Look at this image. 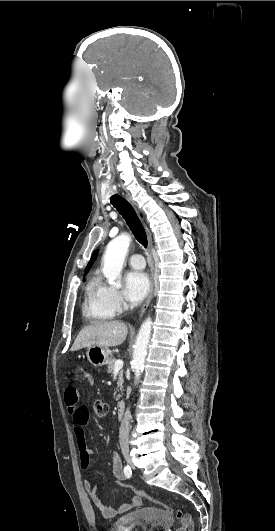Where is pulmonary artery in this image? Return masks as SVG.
<instances>
[{"label":"pulmonary artery","instance_id":"1","mask_svg":"<svg viewBox=\"0 0 275 531\" xmlns=\"http://www.w3.org/2000/svg\"><path fill=\"white\" fill-rule=\"evenodd\" d=\"M128 264L135 269H142L145 267V261L142 255L133 254L127 258Z\"/></svg>","mask_w":275,"mask_h":531}]
</instances>
